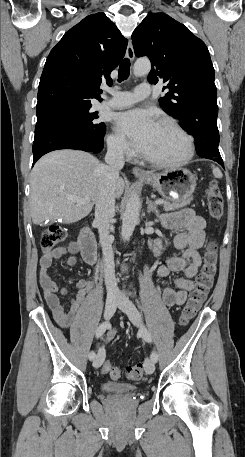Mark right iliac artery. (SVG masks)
Wrapping results in <instances>:
<instances>
[{
	"instance_id": "1",
	"label": "right iliac artery",
	"mask_w": 245,
	"mask_h": 457,
	"mask_svg": "<svg viewBox=\"0 0 245 457\" xmlns=\"http://www.w3.org/2000/svg\"><path fill=\"white\" fill-rule=\"evenodd\" d=\"M108 324L109 322H103L99 325V327L96 330V338H100L106 332ZM88 356L90 360H93L96 354L94 351H91Z\"/></svg>"
}]
</instances>
